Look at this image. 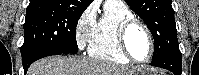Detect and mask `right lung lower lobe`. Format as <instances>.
Wrapping results in <instances>:
<instances>
[{"instance_id": "98d812e1", "label": "right lung lower lobe", "mask_w": 199, "mask_h": 75, "mask_svg": "<svg viewBox=\"0 0 199 75\" xmlns=\"http://www.w3.org/2000/svg\"><path fill=\"white\" fill-rule=\"evenodd\" d=\"M63 53H51L50 51L43 49L41 47L26 51L24 53H21L22 55V61H23V68H24V73L27 72L29 66L36 60L41 59L46 56H51V55H60Z\"/></svg>"}]
</instances>
